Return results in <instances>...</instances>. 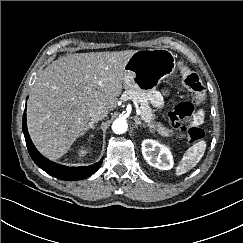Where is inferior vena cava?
Masks as SVG:
<instances>
[{
    "instance_id": "602c4592",
    "label": "inferior vena cava",
    "mask_w": 243,
    "mask_h": 243,
    "mask_svg": "<svg viewBox=\"0 0 243 243\" xmlns=\"http://www.w3.org/2000/svg\"><path fill=\"white\" fill-rule=\"evenodd\" d=\"M107 114H108V110L102 106H97L95 108L90 109L89 111V115L91 119L94 121H99L104 119L107 116Z\"/></svg>"
}]
</instances>
